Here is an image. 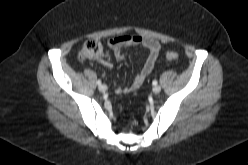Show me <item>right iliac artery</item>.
I'll return each mask as SVG.
<instances>
[{
    "instance_id": "1",
    "label": "right iliac artery",
    "mask_w": 248,
    "mask_h": 165,
    "mask_svg": "<svg viewBox=\"0 0 248 165\" xmlns=\"http://www.w3.org/2000/svg\"><path fill=\"white\" fill-rule=\"evenodd\" d=\"M97 84H98V85H101V81H100V80H98V81H97Z\"/></svg>"
}]
</instances>
